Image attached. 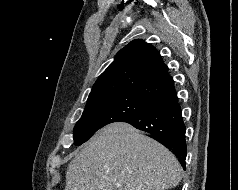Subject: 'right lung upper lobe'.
I'll return each instance as SVG.
<instances>
[{
    "instance_id": "obj_1",
    "label": "right lung upper lobe",
    "mask_w": 238,
    "mask_h": 190,
    "mask_svg": "<svg viewBox=\"0 0 238 190\" xmlns=\"http://www.w3.org/2000/svg\"><path fill=\"white\" fill-rule=\"evenodd\" d=\"M158 50L141 39L121 49L97 79L88 101L114 95H130L152 103L174 89Z\"/></svg>"
}]
</instances>
